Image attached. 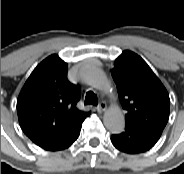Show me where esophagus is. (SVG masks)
I'll list each match as a JSON object with an SVG mask.
<instances>
[{
  "mask_svg": "<svg viewBox=\"0 0 184 174\" xmlns=\"http://www.w3.org/2000/svg\"><path fill=\"white\" fill-rule=\"evenodd\" d=\"M107 109V104H106V102L105 101H100V103L98 104V106H97V110L99 111V112H103V111H105Z\"/></svg>",
  "mask_w": 184,
  "mask_h": 174,
  "instance_id": "esophagus-1",
  "label": "esophagus"
}]
</instances>
